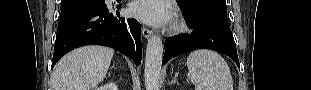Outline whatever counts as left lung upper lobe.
<instances>
[{"mask_svg":"<svg viewBox=\"0 0 311 90\" xmlns=\"http://www.w3.org/2000/svg\"><path fill=\"white\" fill-rule=\"evenodd\" d=\"M183 15L192 23L215 22L230 27L225 0H177Z\"/></svg>","mask_w":311,"mask_h":90,"instance_id":"5c2ea615","label":"left lung upper lobe"}]
</instances>
